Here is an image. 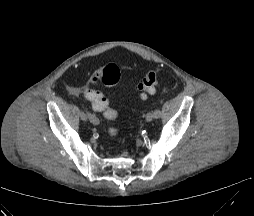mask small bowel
<instances>
[{"label":"small bowel","mask_w":254,"mask_h":216,"mask_svg":"<svg viewBox=\"0 0 254 216\" xmlns=\"http://www.w3.org/2000/svg\"><path fill=\"white\" fill-rule=\"evenodd\" d=\"M68 91H69V93L70 94H72V95H79V93H80V90L78 89V88H76V87H72V86H69L68 87ZM84 94H85V92H84ZM90 101V100H89ZM91 102V101H90ZM92 103V102H91ZM93 105V104H92ZM93 108H94V110H96V111H102V109H99V108H96V107H94L93 106Z\"/></svg>","instance_id":"small-bowel-1"}]
</instances>
